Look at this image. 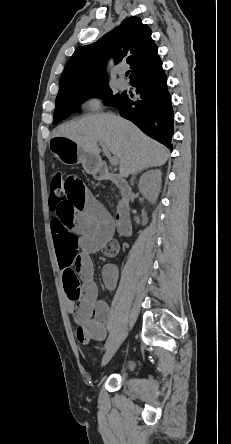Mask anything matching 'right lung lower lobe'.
<instances>
[{"instance_id": "98d812e1", "label": "right lung lower lobe", "mask_w": 231, "mask_h": 444, "mask_svg": "<svg viewBox=\"0 0 231 444\" xmlns=\"http://www.w3.org/2000/svg\"><path fill=\"white\" fill-rule=\"evenodd\" d=\"M140 94L138 100L124 95L113 106L120 115L137 125L144 133L172 149L173 110L162 65L131 81Z\"/></svg>"}]
</instances>
